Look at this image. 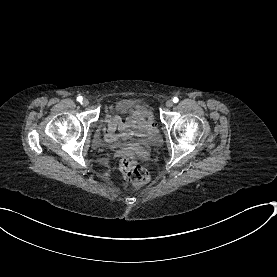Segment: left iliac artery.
Listing matches in <instances>:
<instances>
[{"mask_svg": "<svg viewBox=\"0 0 277 277\" xmlns=\"http://www.w3.org/2000/svg\"><path fill=\"white\" fill-rule=\"evenodd\" d=\"M178 100H179V99H178L177 97H174V98H173V102H174V103H177Z\"/></svg>", "mask_w": 277, "mask_h": 277, "instance_id": "obj_1", "label": "left iliac artery"}]
</instances>
